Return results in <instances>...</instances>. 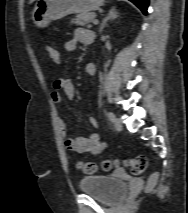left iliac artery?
<instances>
[{
  "label": "left iliac artery",
  "mask_w": 188,
  "mask_h": 213,
  "mask_svg": "<svg viewBox=\"0 0 188 213\" xmlns=\"http://www.w3.org/2000/svg\"><path fill=\"white\" fill-rule=\"evenodd\" d=\"M107 116H108V119H109L111 122L114 121L115 115H114L113 112L109 111V112L107 113Z\"/></svg>",
  "instance_id": "44dca946"
}]
</instances>
